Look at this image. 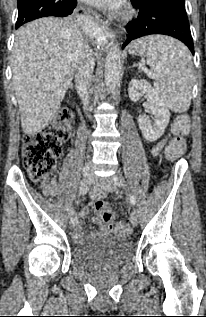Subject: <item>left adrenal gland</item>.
Returning <instances> with one entry per match:
<instances>
[{
  "label": "left adrenal gland",
  "instance_id": "a2214340",
  "mask_svg": "<svg viewBox=\"0 0 206 317\" xmlns=\"http://www.w3.org/2000/svg\"><path fill=\"white\" fill-rule=\"evenodd\" d=\"M136 67V64L134 63L133 66H131L130 68Z\"/></svg>",
  "mask_w": 206,
  "mask_h": 317
}]
</instances>
